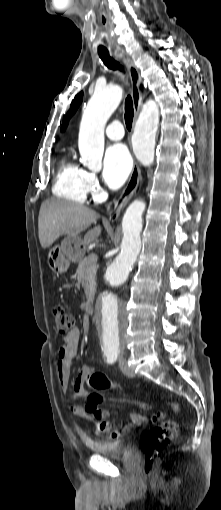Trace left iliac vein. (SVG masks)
Here are the masks:
<instances>
[{"mask_svg":"<svg viewBox=\"0 0 221 510\" xmlns=\"http://www.w3.org/2000/svg\"><path fill=\"white\" fill-rule=\"evenodd\" d=\"M119 366L121 371L128 377H134L133 371L130 369V367L127 364V361L125 358L121 357L119 359Z\"/></svg>","mask_w":221,"mask_h":510,"instance_id":"obj_1","label":"left iliac vein"}]
</instances>
